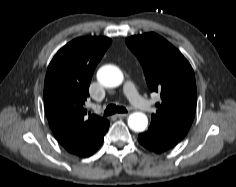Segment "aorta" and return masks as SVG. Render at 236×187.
Returning a JSON list of instances; mask_svg holds the SVG:
<instances>
[{
	"instance_id": "762f6f07",
	"label": "aorta",
	"mask_w": 236,
	"mask_h": 187,
	"mask_svg": "<svg viewBox=\"0 0 236 187\" xmlns=\"http://www.w3.org/2000/svg\"><path fill=\"white\" fill-rule=\"evenodd\" d=\"M97 80L105 87L113 88L122 84L124 80L121 70L114 65H104L97 72ZM148 118L142 112H134L128 117V126L135 132H142L147 128Z\"/></svg>"
}]
</instances>
